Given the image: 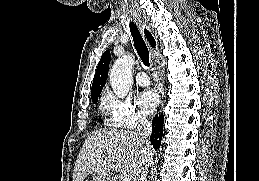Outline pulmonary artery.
Instances as JSON below:
<instances>
[{
    "instance_id": "e3ab8cb5",
    "label": "pulmonary artery",
    "mask_w": 259,
    "mask_h": 181,
    "mask_svg": "<svg viewBox=\"0 0 259 181\" xmlns=\"http://www.w3.org/2000/svg\"><path fill=\"white\" fill-rule=\"evenodd\" d=\"M135 79L140 86H148L150 84V78L145 71L138 72Z\"/></svg>"
}]
</instances>
